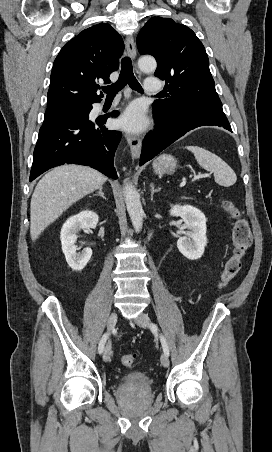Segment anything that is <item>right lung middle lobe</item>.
Instances as JSON below:
<instances>
[{
  "label": "right lung middle lobe",
  "instance_id": "right-lung-middle-lobe-1",
  "mask_svg": "<svg viewBox=\"0 0 272 452\" xmlns=\"http://www.w3.org/2000/svg\"><path fill=\"white\" fill-rule=\"evenodd\" d=\"M86 110H87V107H85V108H80V109L73 110V111H69V112L62 113V114H75V113H78V112H84V111H86Z\"/></svg>",
  "mask_w": 272,
  "mask_h": 452
}]
</instances>
